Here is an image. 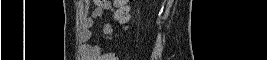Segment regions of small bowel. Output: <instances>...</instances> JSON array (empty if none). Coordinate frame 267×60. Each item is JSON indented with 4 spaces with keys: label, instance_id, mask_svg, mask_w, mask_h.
I'll return each instance as SVG.
<instances>
[{
    "label": "small bowel",
    "instance_id": "obj_1",
    "mask_svg": "<svg viewBox=\"0 0 267 60\" xmlns=\"http://www.w3.org/2000/svg\"><path fill=\"white\" fill-rule=\"evenodd\" d=\"M115 6L111 2H102L93 11L92 16L84 20L83 29L81 32V40L85 43V50L90 54L97 56L101 53L100 42L102 40H109L113 35V25L107 23L103 27V38L95 44H89L91 39V28L94 25L95 19L102 16L105 11L114 10Z\"/></svg>",
    "mask_w": 267,
    "mask_h": 60
}]
</instances>
